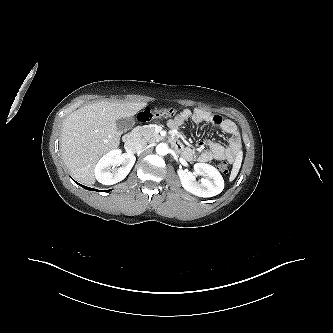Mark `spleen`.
<instances>
[{"label": "spleen", "mask_w": 333, "mask_h": 333, "mask_svg": "<svg viewBox=\"0 0 333 333\" xmlns=\"http://www.w3.org/2000/svg\"><path fill=\"white\" fill-rule=\"evenodd\" d=\"M241 162H242V154L239 153L236 158H235V161L233 163V168H232V171H231V175H230V181H233L238 172H239V169L241 167Z\"/></svg>", "instance_id": "3e777b00"}]
</instances>
